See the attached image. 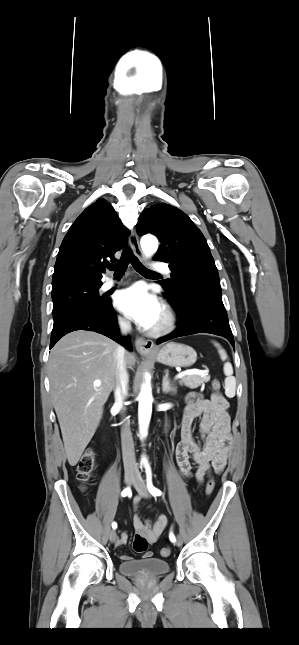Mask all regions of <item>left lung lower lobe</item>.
<instances>
[{
	"instance_id": "0a47b994",
	"label": "left lung lower lobe",
	"mask_w": 299,
	"mask_h": 645,
	"mask_svg": "<svg viewBox=\"0 0 299 645\" xmlns=\"http://www.w3.org/2000/svg\"><path fill=\"white\" fill-rule=\"evenodd\" d=\"M178 316V328L158 339L157 344L173 338L210 333L223 336L234 347L233 334L226 309L221 298L219 280L207 279L195 282L192 287L178 293H163Z\"/></svg>"
}]
</instances>
